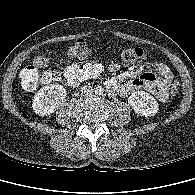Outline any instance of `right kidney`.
I'll list each match as a JSON object with an SVG mask.
<instances>
[{
	"mask_svg": "<svg viewBox=\"0 0 195 195\" xmlns=\"http://www.w3.org/2000/svg\"><path fill=\"white\" fill-rule=\"evenodd\" d=\"M66 89L59 84L42 87L34 96L32 108L39 116L51 115L66 98Z\"/></svg>",
	"mask_w": 195,
	"mask_h": 195,
	"instance_id": "obj_1",
	"label": "right kidney"
}]
</instances>
